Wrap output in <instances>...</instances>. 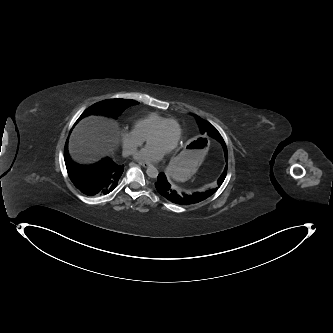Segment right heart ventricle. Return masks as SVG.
Listing matches in <instances>:
<instances>
[{
  "label": "right heart ventricle",
  "mask_w": 333,
  "mask_h": 333,
  "mask_svg": "<svg viewBox=\"0 0 333 333\" xmlns=\"http://www.w3.org/2000/svg\"><path fill=\"white\" fill-rule=\"evenodd\" d=\"M170 117L159 114L157 112H151L144 117L138 119L134 123V130L147 139L150 133L163 121L169 119Z\"/></svg>",
  "instance_id": "e07e8e85"
}]
</instances>
